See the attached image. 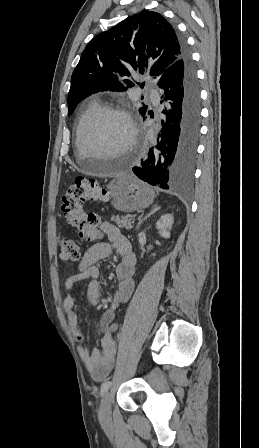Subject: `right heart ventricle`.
<instances>
[{
  "label": "right heart ventricle",
  "instance_id": "obj_1",
  "mask_svg": "<svg viewBox=\"0 0 259 448\" xmlns=\"http://www.w3.org/2000/svg\"><path fill=\"white\" fill-rule=\"evenodd\" d=\"M101 107L99 100L91 99L85 109L80 114L77 123L75 125L73 142L74 148H80V132L84 123Z\"/></svg>",
  "mask_w": 259,
  "mask_h": 448
}]
</instances>
